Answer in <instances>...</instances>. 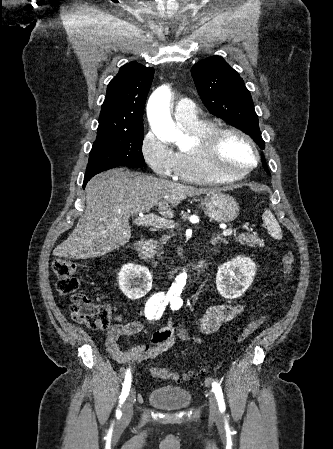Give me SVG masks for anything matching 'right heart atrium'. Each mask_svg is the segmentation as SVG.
Masks as SVG:
<instances>
[{"mask_svg": "<svg viewBox=\"0 0 333 449\" xmlns=\"http://www.w3.org/2000/svg\"><path fill=\"white\" fill-rule=\"evenodd\" d=\"M141 154L157 175L166 178L176 177L177 153L152 131L147 132L143 137Z\"/></svg>", "mask_w": 333, "mask_h": 449, "instance_id": "right-heart-atrium-1", "label": "right heart atrium"}]
</instances>
